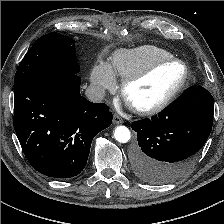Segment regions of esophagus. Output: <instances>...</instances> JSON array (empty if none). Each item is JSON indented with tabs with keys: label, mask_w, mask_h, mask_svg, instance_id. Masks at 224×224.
<instances>
[{
	"label": "esophagus",
	"mask_w": 224,
	"mask_h": 224,
	"mask_svg": "<svg viewBox=\"0 0 224 224\" xmlns=\"http://www.w3.org/2000/svg\"><path fill=\"white\" fill-rule=\"evenodd\" d=\"M113 123L114 124H121V123H123V119L119 115L114 114L113 115Z\"/></svg>",
	"instance_id": "1"
}]
</instances>
